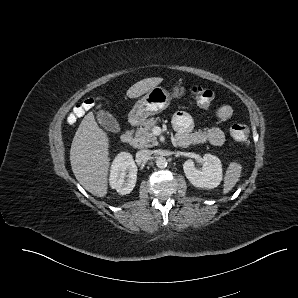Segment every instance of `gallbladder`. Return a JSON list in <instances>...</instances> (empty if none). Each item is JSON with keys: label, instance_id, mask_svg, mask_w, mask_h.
Instances as JSON below:
<instances>
[{"label": "gallbladder", "instance_id": "obj_1", "mask_svg": "<svg viewBox=\"0 0 298 298\" xmlns=\"http://www.w3.org/2000/svg\"><path fill=\"white\" fill-rule=\"evenodd\" d=\"M98 120L100 124L107 130H112L116 126L115 119L109 115L108 113H105L103 111H99L97 113Z\"/></svg>", "mask_w": 298, "mask_h": 298}]
</instances>
